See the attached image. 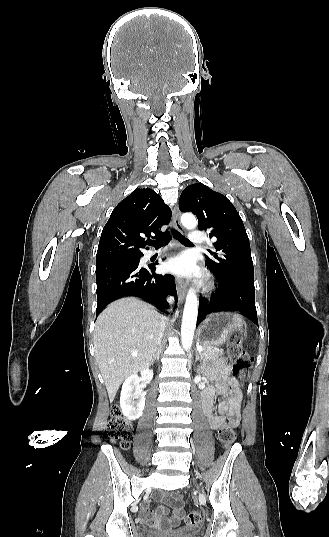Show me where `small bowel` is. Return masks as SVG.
Wrapping results in <instances>:
<instances>
[{"label":"small bowel","instance_id":"obj_1","mask_svg":"<svg viewBox=\"0 0 329 537\" xmlns=\"http://www.w3.org/2000/svg\"><path fill=\"white\" fill-rule=\"evenodd\" d=\"M231 366L224 360H218L210 369L209 377L214 381V385L206 387L202 393V406L209 425L217 430L226 421L238 422L240 417L241 391L238 380L230 375ZM221 396L217 407L214 408V397ZM172 508L169 515L168 509L161 505L156 511L150 509L152 500L145 502V521L153 528L169 530L179 526L184 517L181 501L171 494L163 493L156 497Z\"/></svg>","mask_w":329,"mask_h":537}]
</instances>
